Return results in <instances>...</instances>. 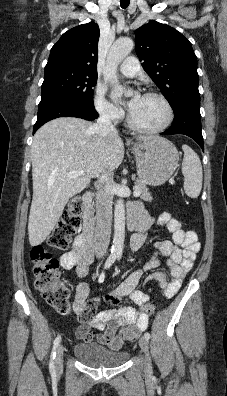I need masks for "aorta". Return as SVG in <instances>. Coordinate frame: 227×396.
<instances>
[{"label": "aorta", "mask_w": 227, "mask_h": 396, "mask_svg": "<svg viewBox=\"0 0 227 396\" xmlns=\"http://www.w3.org/2000/svg\"><path fill=\"white\" fill-rule=\"evenodd\" d=\"M134 47V42L130 38H120L112 45L106 59L104 79L108 83L118 86L117 78L118 65L128 56ZM125 239V206L124 201L119 199L114 210V239L112 250L122 252Z\"/></svg>", "instance_id": "obj_1"}]
</instances>
